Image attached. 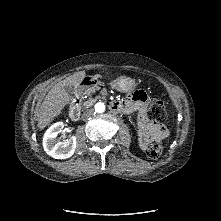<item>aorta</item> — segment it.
<instances>
[{
    "label": "aorta",
    "instance_id": "aorta-1",
    "mask_svg": "<svg viewBox=\"0 0 221 221\" xmlns=\"http://www.w3.org/2000/svg\"><path fill=\"white\" fill-rule=\"evenodd\" d=\"M105 111V104L102 102H98L95 104V112L103 113Z\"/></svg>",
    "mask_w": 221,
    "mask_h": 221
}]
</instances>
